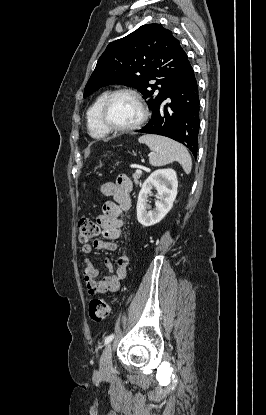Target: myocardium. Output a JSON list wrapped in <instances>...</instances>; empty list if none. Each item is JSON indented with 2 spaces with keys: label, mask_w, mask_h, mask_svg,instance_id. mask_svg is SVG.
Returning <instances> with one entry per match:
<instances>
[{
  "label": "myocardium",
  "mask_w": 266,
  "mask_h": 415,
  "mask_svg": "<svg viewBox=\"0 0 266 415\" xmlns=\"http://www.w3.org/2000/svg\"><path fill=\"white\" fill-rule=\"evenodd\" d=\"M121 94H127V95L132 96L137 101L141 109V117L139 118V120L135 124L128 126V127L115 126L109 120L108 113H109L111 102L113 101L115 97ZM148 115H149L148 108L145 105L143 98L136 90L131 89V88H120V89L112 91L105 99L102 105V108H101L100 119H101L103 126L108 131L115 132V133H128V132H131V131H134L140 128L148 119Z\"/></svg>",
  "instance_id": "myocardium-1"
}]
</instances>
